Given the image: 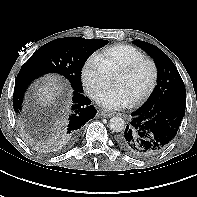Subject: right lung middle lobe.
I'll return each mask as SVG.
<instances>
[{
  "mask_svg": "<svg viewBox=\"0 0 197 197\" xmlns=\"http://www.w3.org/2000/svg\"><path fill=\"white\" fill-rule=\"evenodd\" d=\"M107 40L66 37L55 39L40 47L22 69L40 74L58 73L66 77L74 91L82 92L81 70L87 58Z\"/></svg>",
  "mask_w": 197,
  "mask_h": 197,
  "instance_id": "right-lung-middle-lobe-1",
  "label": "right lung middle lobe"
}]
</instances>
